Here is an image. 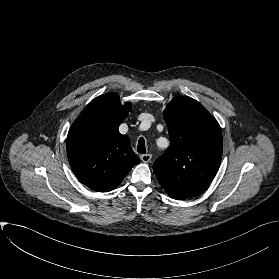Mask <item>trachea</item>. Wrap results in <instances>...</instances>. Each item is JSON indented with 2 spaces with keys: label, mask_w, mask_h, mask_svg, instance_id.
<instances>
[{
  "label": "trachea",
  "mask_w": 279,
  "mask_h": 279,
  "mask_svg": "<svg viewBox=\"0 0 279 279\" xmlns=\"http://www.w3.org/2000/svg\"><path fill=\"white\" fill-rule=\"evenodd\" d=\"M137 151H138V153H141V154L146 153L145 140L143 137H140V139L138 141Z\"/></svg>",
  "instance_id": "3493384b"
}]
</instances>
